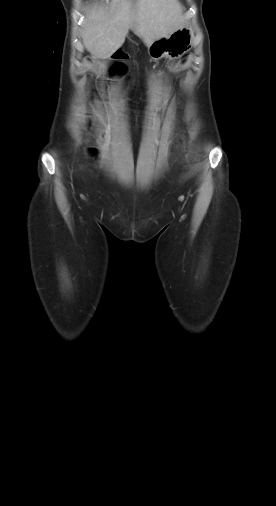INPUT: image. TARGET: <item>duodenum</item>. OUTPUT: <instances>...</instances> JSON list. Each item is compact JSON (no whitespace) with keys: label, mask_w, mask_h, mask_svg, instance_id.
I'll use <instances>...</instances> for the list:
<instances>
[{"label":"duodenum","mask_w":276,"mask_h":506,"mask_svg":"<svg viewBox=\"0 0 276 506\" xmlns=\"http://www.w3.org/2000/svg\"><path fill=\"white\" fill-rule=\"evenodd\" d=\"M117 50H118V49H117ZM120 50H125V49H119V51H117V53H116V54H117V56H119V57H120V56H122V54H126V53H122V51H120Z\"/></svg>","instance_id":"1"}]
</instances>
